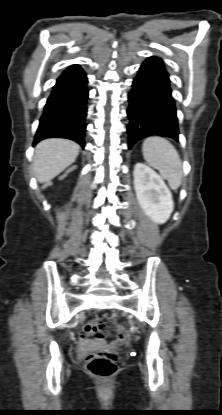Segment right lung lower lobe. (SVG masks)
Returning <instances> with one entry per match:
<instances>
[{
	"instance_id": "98d812e1",
	"label": "right lung lower lobe",
	"mask_w": 222,
	"mask_h": 415,
	"mask_svg": "<svg viewBox=\"0 0 222 415\" xmlns=\"http://www.w3.org/2000/svg\"><path fill=\"white\" fill-rule=\"evenodd\" d=\"M87 77L79 65L68 67L57 79L49 96L34 145L45 138H67L85 145Z\"/></svg>"
}]
</instances>
